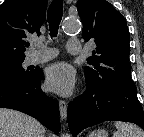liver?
Segmentation results:
<instances>
[{
    "mask_svg": "<svg viewBox=\"0 0 144 137\" xmlns=\"http://www.w3.org/2000/svg\"><path fill=\"white\" fill-rule=\"evenodd\" d=\"M45 127L19 111L0 108V137H44Z\"/></svg>",
    "mask_w": 144,
    "mask_h": 137,
    "instance_id": "6515ba94",
    "label": "liver"
}]
</instances>
